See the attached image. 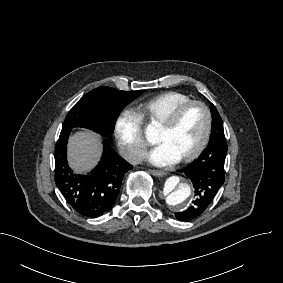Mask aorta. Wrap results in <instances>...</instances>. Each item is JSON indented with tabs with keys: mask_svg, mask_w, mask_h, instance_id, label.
<instances>
[{
	"mask_svg": "<svg viewBox=\"0 0 283 283\" xmlns=\"http://www.w3.org/2000/svg\"><path fill=\"white\" fill-rule=\"evenodd\" d=\"M153 132L154 129L148 126L147 133L152 134ZM161 198L169 207L177 210L186 209L193 199L190 181L184 176H170L163 185Z\"/></svg>",
	"mask_w": 283,
	"mask_h": 283,
	"instance_id": "aorta-1",
	"label": "aorta"
}]
</instances>
